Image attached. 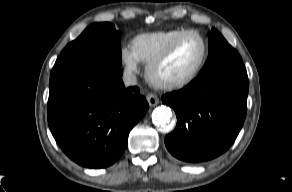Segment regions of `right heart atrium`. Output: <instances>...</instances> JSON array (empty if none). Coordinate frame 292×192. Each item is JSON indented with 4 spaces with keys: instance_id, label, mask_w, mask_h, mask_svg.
Listing matches in <instances>:
<instances>
[{
    "instance_id": "right-heart-atrium-1",
    "label": "right heart atrium",
    "mask_w": 292,
    "mask_h": 192,
    "mask_svg": "<svg viewBox=\"0 0 292 192\" xmlns=\"http://www.w3.org/2000/svg\"><path fill=\"white\" fill-rule=\"evenodd\" d=\"M120 57L126 73L134 74L138 72L140 61L131 46L122 47Z\"/></svg>"
}]
</instances>
